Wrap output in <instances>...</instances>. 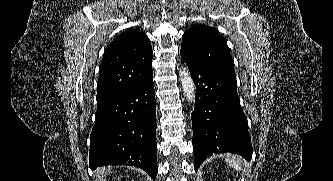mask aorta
I'll use <instances>...</instances> for the list:
<instances>
[{"label": "aorta", "instance_id": "obj_1", "mask_svg": "<svg viewBox=\"0 0 333 181\" xmlns=\"http://www.w3.org/2000/svg\"><path fill=\"white\" fill-rule=\"evenodd\" d=\"M179 76H180V82H181L185 97L187 98L188 102H194L195 85L190 76L188 69L186 67H183L182 69H180Z\"/></svg>", "mask_w": 333, "mask_h": 181}]
</instances>
